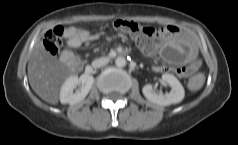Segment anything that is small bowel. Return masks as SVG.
I'll use <instances>...</instances> for the list:
<instances>
[{
  "label": "small bowel",
  "mask_w": 238,
  "mask_h": 145,
  "mask_svg": "<svg viewBox=\"0 0 238 145\" xmlns=\"http://www.w3.org/2000/svg\"><path fill=\"white\" fill-rule=\"evenodd\" d=\"M71 40L73 42H79L80 40H94L96 39V35L94 34H87L83 31H77L71 33ZM199 67V62L197 61H192L187 65H183L178 67L175 72L180 75V76H187L192 73H194ZM165 68L163 67H158L157 70H164Z\"/></svg>",
  "instance_id": "obj_1"
}]
</instances>
